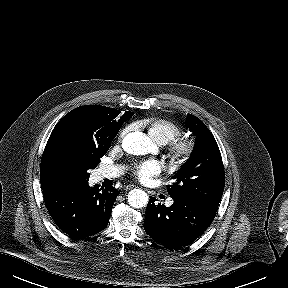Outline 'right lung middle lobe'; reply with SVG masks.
Masks as SVG:
<instances>
[{"label": "right lung middle lobe", "instance_id": "1", "mask_svg": "<svg viewBox=\"0 0 288 288\" xmlns=\"http://www.w3.org/2000/svg\"><path fill=\"white\" fill-rule=\"evenodd\" d=\"M118 131L113 118L108 119L102 134H98L93 140L85 138L72 126L60 130L45 147L40 167L41 186L87 182L89 170L100 163V158L106 154Z\"/></svg>", "mask_w": 288, "mask_h": 288}]
</instances>
